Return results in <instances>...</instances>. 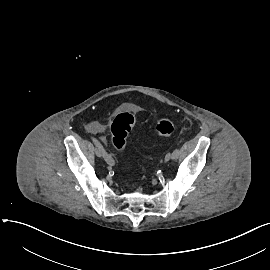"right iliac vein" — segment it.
Listing matches in <instances>:
<instances>
[{
    "label": "right iliac vein",
    "mask_w": 270,
    "mask_h": 270,
    "mask_svg": "<svg viewBox=\"0 0 270 270\" xmlns=\"http://www.w3.org/2000/svg\"><path fill=\"white\" fill-rule=\"evenodd\" d=\"M95 154H96V156H98V157H101V156H102L101 151H100L97 147L95 148Z\"/></svg>",
    "instance_id": "obj_1"
}]
</instances>
